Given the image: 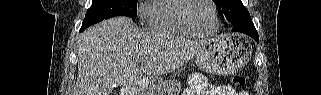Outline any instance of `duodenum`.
<instances>
[{"instance_id": "1", "label": "duodenum", "mask_w": 321, "mask_h": 95, "mask_svg": "<svg viewBox=\"0 0 321 95\" xmlns=\"http://www.w3.org/2000/svg\"><path fill=\"white\" fill-rule=\"evenodd\" d=\"M134 94H143V93H134V92H131L129 89H124L121 92V95H134Z\"/></svg>"}]
</instances>
